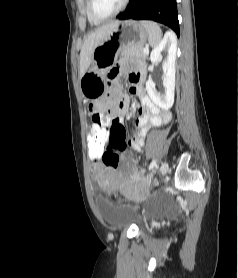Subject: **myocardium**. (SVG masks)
<instances>
[{
	"label": "myocardium",
	"instance_id": "f54148a6",
	"mask_svg": "<svg viewBox=\"0 0 238 278\" xmlns=\"http://www.w3.org/2000/svg\"><path fill=\"white\" fill-rule=\"evenodd\" d=\"M94 2H95V0H88V12H89V15L95 21L102 22V21L108 20L110 18H113L116 15H118L120 12H122L126 8V6L128 5L129 0H123L121 5L118 7V9H116L114 12H112V13H110L108 15H105V16H100V15H98L96 13V11L94 9Z\"/></svg>",
	"mask_w": 238,
	"mask_h": 278
}]
</instances>
